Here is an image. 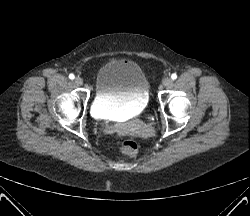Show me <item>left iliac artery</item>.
<instances>
[{"label":"left iliac artery","mask_w":250,"mask_h":216,"mask_svg":"<svg viewBox=\"0 0 250 216\" xmlns=\"http://www.w3.org/2000/svg\"><path fill=\"white\" fill-rule=\"evenodd\" d=\"M171 78H172L173 80H175V79L177 78V75H176L175 73H173V74L171 75Z\"/></svg>","instance_id":"44dca946"}]
</instances>
